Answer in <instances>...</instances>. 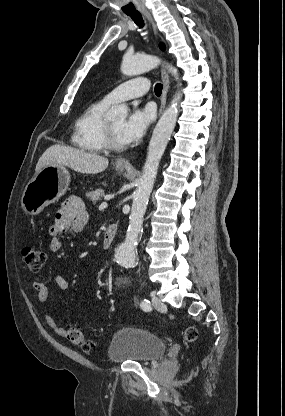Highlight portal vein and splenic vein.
<instances>
[{"instance_id": "1", "label": "portal vein and splenic vein", "mask_w": 285, "mask_h": 416, "mask_svg": "<svg viewBox=\"0 0 285 416\" xmlns=\"http://www.w3.org/2000/svg\"><path fill=\"white\" fill-rule=\"evenodd\" d=\"M107 206V202H102L101 206H99V210H104V208H107Z\"/></svg>"}]
</instances>
